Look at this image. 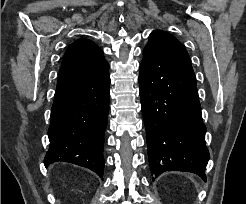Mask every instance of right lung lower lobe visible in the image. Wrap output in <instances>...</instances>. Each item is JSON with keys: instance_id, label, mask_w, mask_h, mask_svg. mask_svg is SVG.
Returning a JSON list of instances; mask_svg holds the SVG:
<instances>
[{"instance_id": "obj_1", "label": "right lung lower lobe", "mask_w": 246, "mask_h": 204, "mask_svg": "<svg viewBox=\"0 0 246 204\" xmlns=\"http://www.w3.org/2000/svg\"><path fill=\"white\" fill-rule=\"evenodd\" d=\"M109 66L61 67L44 164L70 162L103 178L104 132L109 113Z\"/></svg>"}]
</instances>
